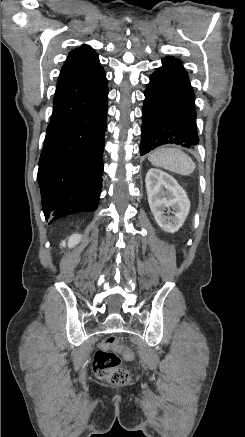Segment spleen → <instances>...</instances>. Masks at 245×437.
<instances>
[{"label": "spleen", "instance_id": "3e777b00", "mask_svg": "<svg viewBox=\"0 0 245 437\" xmlns=\"http://www.w3.org/2000/svg\"><path fill=\"white\" fill-rule=\"evenodd\" d=\"M148 160L154 166L180 175H189L196 168V164L192 158L177 148H157L149 154Z\"/></svg>", "mask_w": 245, "mask_h": 437}]
</instances>
